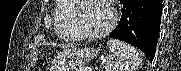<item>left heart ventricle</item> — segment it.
<instances>
[{"mask_svg": "<svg viewBox=\"0 0 181 71\" xmlns=\"http://www.w3.org/2000/svg\"><path fill=\"white\" fill-rule=\"evenodd\" d=\"M82 8L77 18L78 28L87 33L103 30L110 22L109 10L99 0H80Z\"/></svg>", "mask_w": 181, "mask_h": 71, "instance_id": "left-heart-ventricle-1", "label": "left heart ventricle"}]
</instances>
